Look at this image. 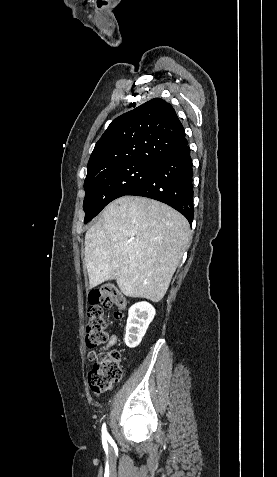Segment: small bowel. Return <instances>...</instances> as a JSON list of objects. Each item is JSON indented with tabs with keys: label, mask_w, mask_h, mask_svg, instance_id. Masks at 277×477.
Masks as SVG:
<instances>
[{
	"label": "small bowel",
	"mask_w": 277,
	"mask_h": 477,
	"mask_svg": "<svg viewBox=\"0 0 277 477\" xmlns=\"http://www.w3.org/2000/svg\"><path fill=\"white\" fill-rule=\"evenodd\" d=\"M117 343V336L111 335L107 341V344L99 349L91 350L88 353V360L91 362L96 361L97 359L106 356L109 353V349Z\"/></svg>",
	"instance_id": "1"
}]
</instances>
